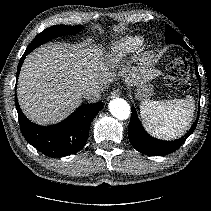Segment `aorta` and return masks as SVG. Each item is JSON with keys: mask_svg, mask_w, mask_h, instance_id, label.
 <instances>
[{"mask_svg": "<svg viewBox=\"0 0 211 211\" xmlns=\"http://www.w3.org/2000/svg\"><path fill=\"white\" fill-rule=\"evenodd\" d=\"M109 110L114 117L120 120L128 119L131 113L129 104L122 98L111 100L109 102Z\"/></svg>", "mask_w": 211, "mask_h": 211, "instance_id": "762f6f07", "label": "aorta"}]
</instances>
